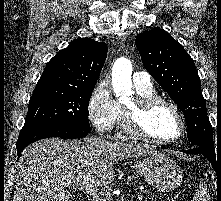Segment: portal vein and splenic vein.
<instances>
[{
	"label": "portal vein and splenic vein",
	"mask_w": 221,
	"mask_h": 201,
	"mask_svg": "<svg viewBox=\"0 0 221 201\" xmlns=\"http://www.w3.org/2000/svg\"><path fill=\"white\" fill-rule=\"evenodd\" d=\"M71 186H73L74 188H77L79 190H82L87 194H90L91 196H93L97 200H100V201L103 199L105 200L104 193L101 190H99L98 188H96L95 186H93L87 182L71 184ZM138 199L142 200L143 196L141 194H138Z\"/></svg>",
	"instance_id": "1"
}]
</instances>
